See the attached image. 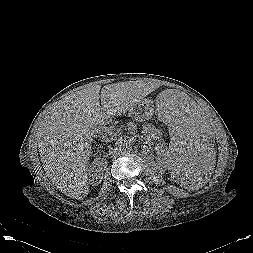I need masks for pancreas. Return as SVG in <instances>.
Returning a JSON list of instances; mask_svg holds the SVG:
<instances>
[{
  "instance_id": "pancreas-1",
  "label": "pancreas",
  "mask_w": 253,
  "mask_h": 253,
  "mask_svg": "<svg viewBox=\"0 0 253 253\" xmlns=\"http://www.w3.org/2000/svg\"><path fill=\"white\" fill-rule=\"evenodd\" d=\"M100 131L104 133L103 139L106 141L114 140L120 134V130L113 127H103Z\"/></svg>"
}]
</instances>
